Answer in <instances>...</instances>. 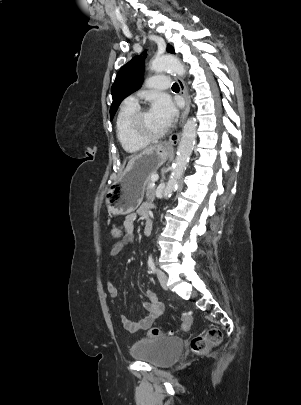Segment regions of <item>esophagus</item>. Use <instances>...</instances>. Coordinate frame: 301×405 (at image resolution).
Returning a JSON list of instances; mask_svg holds the SVG:
<instances>
[{
  "instance_id": "esophagus-1",
  "label": "esophagus",
  "mask_w": 301,
  "mask_h": 405,
  "mask_svg": "<svg viewBox=\"0 0 301 405\" xmlns=\"http://www.w3.org/2000/svg\"><path fill=\"white\" fill-rule=\"evenodd\" d=\"M176 81H177V83L179 85L180 93L183 96L184 101H185V107H184V110H183V112H182V114L180 116V125H183L186 118H187V115L189 113L190 101H189V98H188L187 89H186L184 81L180 77H177ZM179 139H180V133H174L169 137L168 141H166L165 144L167 146H174V145H176L178 143Z\"/></svg>"
}]
</instances>
